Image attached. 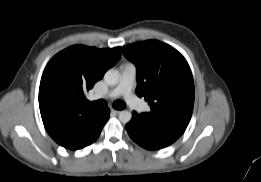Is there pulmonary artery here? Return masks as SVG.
Wrapping results in <instances>:
<instances>
[{"label":"pulmonary artery","mask_w":261,"mask_h":182,"mask_svg":"<svg viewBox=\"0 0 261 182\" xmlns=\"http://www.w3.org/2000/svg\"><path fill=\"white\" fill-rule=\"evenodd\" d=\"M136 66L132 63L126 64L121 71V76L119 83L110 91H108L104 96L93 95L92 99L109 98L114 99L118 97H123L124 100L132 107L136 108L141 112H147L149 110L148 105L140 101L133 94V88L136 81Z\"/></svg>","instance_id":"e3ab8cb5"}]
</instances>
